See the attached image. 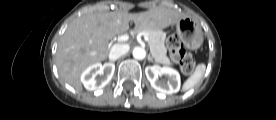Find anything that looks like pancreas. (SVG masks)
Listing matches in <instances>:
<instances>
[{
  "label": "pancreas",
  "mask_w": 276,
  "mask_h": 120,
  "mask_svg": "<svg viewBox=\"0 0 276 120\" xmlns=\"http://www.w3.org/2000/svg\"><path fill=\"white\" fill-rule=\"evenodd\" d=\"M141 32L147 34L149 38L148 45L155 61L160 64L171 65L172 63L166 55L167 49L164 45V33L160 30H141Z\"/></svg>",
  "instance_id": "1"
}]
</instances>
